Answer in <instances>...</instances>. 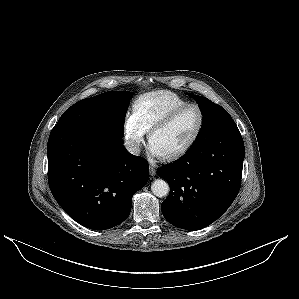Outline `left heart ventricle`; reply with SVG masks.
Wrapping results in <instances>:
<instances>
[{"label":"left heart ventricle","instance_id":"b2bd125f","mask_svg":"<svg viewBox=\"0 0 299 299\" xmlns=\"http://www.w3.org/2000/svg\"><path fill=\"white\" fill-rule=\"evenodd\" d=\"M200 121L196 108H189L180 114L174 122L159 130L151 142L163 153H172L182 148L194 135Z\"/></svg>","mask_w":299,"mask_h":299}]
</instances>
